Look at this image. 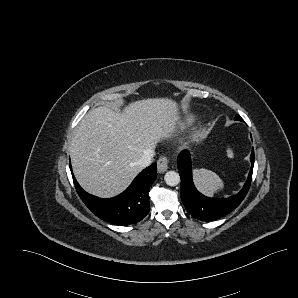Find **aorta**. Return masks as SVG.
<instances>
[{
	"label": "aorta",
	"mask_w": 298,
	"mask_h": 298,
	"mask_svg": "<svg viewBox=\"0 0 298 298\" xmlns=\"http://www.w3.org/2000/svg\"><path fill=\"white\" fill-rule=\"evenodd\" d=\"M164 182L169 186H176L180 182V175L175 170H168L164 174Z\"/></svg>",
	"instance_id": "obj_1"
}]
</instances>
